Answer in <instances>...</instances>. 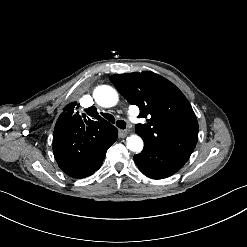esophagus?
Wrapping results in <instances>:
<instances>
[{
    "instance_id": "obj_1",
    "label": "esophagus",
    "mask_w": 247,
    "mask_h": 247,
    "mask_svg": "<svg viewBox=\"0 0 247 247\" xmlns=\"http://www.w3.org/2000/svg\"><path fill=\"white\" fill-rule=\"evenodd\" d=\"M127 134V130H119V138H125Z\"/></svg>"
}]
</instances>
